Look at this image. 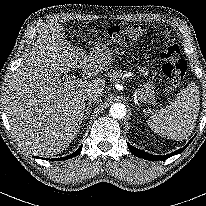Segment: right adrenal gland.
Here are the masks:
<instances>
[{"mask_svg": "<svg viewBox=\"0 0 206 206\" xmlns=\"http://www.w3.org/2000/svg\"><path fill=\"white\" fill-rule=\"evenodd\" d=\"M91 109H92V102H88V106L86 107L85 114H84L85 120L89 117Z\"/></svg>", "mask_w": 206, "mask_h": 206, "instance_id": "1", "label": "right adrenal gland"}]
</instances>
